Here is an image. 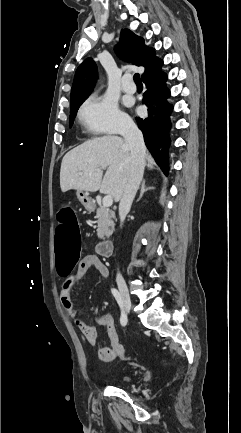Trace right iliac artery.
Returning <instances> with one entry per match:
<instances>
[{
    "mask_svg": "<svg viewBox=\"0 0 241 433\" xmlns=\"http://www.w3.org/2000/svg\"><path fill=\"white\" fill-rule=\"evenodd\" d=\"M111 292H112L113 296L115 297L117 303L119 304V306H120V308H121L120 323H121L122 325H125V324L127 323V316H126V314H125V312H124V310H123V305H122L121 295H120V293L118 292V290L115 289V288H112V289H111Z\"/></svg>",
    "mask_w": 241,
    "mask_h": 433,
    "instance_id": "right-iliac-artery-1",
    "label": "right iliac artery"
}]
</instances>
